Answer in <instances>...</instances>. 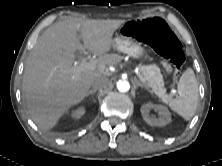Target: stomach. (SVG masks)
<instances>
[{
  "mask_svg": "<svg viewBox=\"0 0 222 166\" xmlns=\"http://www.w3.org/2000/svg\"><path fill=\"white\" fill-rule=\"evenodd\" d=\"M113 47L134 59H140L144 56L145 50L137 41L130 40L126 35H119L113 40Z\"/></svg>",
  "mask_w": 222,
  "mask_h": 166,
  "instance_id": "stomach-1",
  "label": "stomach"
}]
</instances>
